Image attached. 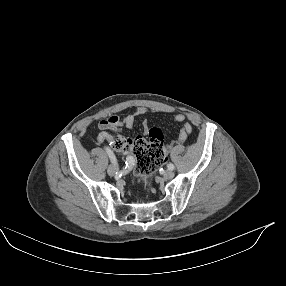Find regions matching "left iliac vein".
Segmentation results:
<instances>
[{
	"label": "left iliac vein",
	"instance_id": "left-iliac-vein-1",
	"mask_svg": "<svg viewBox=\"0 0 286 286\" xmlns=\"http://www.w3.org/2000/svg\"><path fill=\"white\" fill-rule=\"evenodd\" d=\"M163 176L165 179H172L174 177V172L172 170H166Z\"/></svg>",
	"mask_w": 286,
	"mask_h": 286
}]
</instances>
